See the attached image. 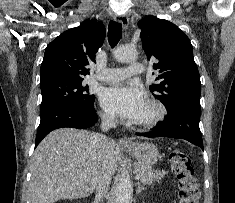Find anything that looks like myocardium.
I'll return each mask as SVG.
<instances>
[{
  "mask_svg": "<svg viewBox=\"0 0 235 203\" xmlns=\"http://www.w3.org/2000/svg\"><path fill=\"white\" fill-rule=\"evenodd\" d=\"M147 107L152 110L149 118L134 123V126L140 130H150L158 126L166 117V107L159 101L150 100L147 102Z\"/></svg>",
  "mask_w": 235,
  "mask_h": 203,
  "instance_id": "obj_1",
  "label": "myocardium"
}]
</instances>
